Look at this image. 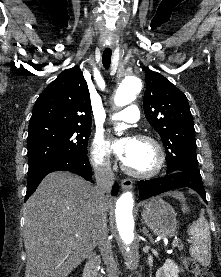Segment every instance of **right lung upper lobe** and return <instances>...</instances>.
Returning <instances> with one entry per match:
<instances>
[{
    "label": "right lung upper lobe",
    "instance_id": "cb5924a9",
    "mask_svg": "<svg viewBox=\"0 0 221 277\" xmlns=\"http://www.w3.org/2000/svg\"><path fill=\"white\" fill-rule=\"evenodd\" d=\"M87 83L78 66L64 70L37 99L29 126L44 124L91 125Z\"/></svg>",
    "mask_w": 221,
    "mask_h": 277
}]
</instances>
